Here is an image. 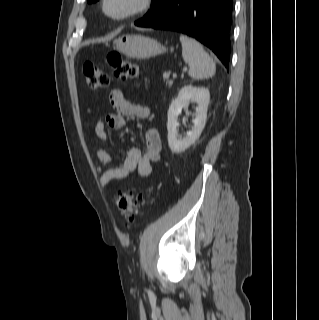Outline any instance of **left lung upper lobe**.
Listing matches in <instances>:
<instances>
[{"label":"left lung upper lobe","instance_id":"5c2ea615","mask_svg":"<svg viewBox=\"0 0 319 320\" xmlns=\"http://www.w3.org/2000/svg\"><path fill=\"white\" fill-rule=\"evenodd\" d=\"M89 3L96 2L97 0H87ZM163 0H152V10L157 8ZM150 12V11H149ZM148 12V13H149ZM147 13V14H148Z\"/></svg>","mask_w":319,"mask_h":320}]
</instances>
